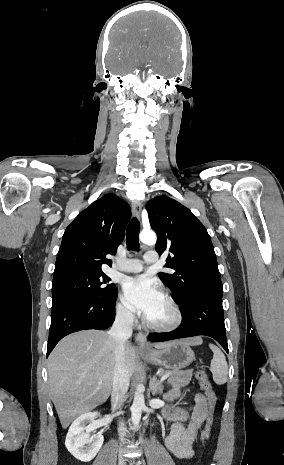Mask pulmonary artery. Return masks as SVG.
I'll return each mask as SVG.
<instances>
[{"label":"pulmonary artery","mask_w":284,"mask_h":465,"mask_svg":"<svg viewBox=\"0 0 284 465\" xmlns=\"http://www.w3.org/2000/svg\"><path fill=\"white\" fill-rule=\"evenodd\" d=\"M144 261L146 263H158L160 256L157 250H148L147 255H144ZM113 267L117 270L129 273H138L143 270V262L138 259H128L125 261H116Z\"/></svg>","instance_id":"pulmonary-artery-1"}]
</instances>
